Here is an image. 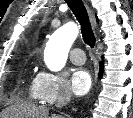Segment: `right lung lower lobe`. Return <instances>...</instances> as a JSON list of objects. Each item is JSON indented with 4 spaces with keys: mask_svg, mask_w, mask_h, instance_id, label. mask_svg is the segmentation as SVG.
<instances>
[{
    "mask_svg": "<svg viewBox=\"0 0 133 118\" xmlns=\"http://www.w3.org/2000/svg\"><path fill=\"white\" fill-rule=\"evenodd\" d=\"M102 72H103V63H100V72H99V77L102 76Z\"/></svg>",
    "mask_w": 133,
    "mask_h": 118,
    "instance_id": "right-lung-lower-lobe-1",
    "label": "right lung lower lobe"
}]
</instances>
